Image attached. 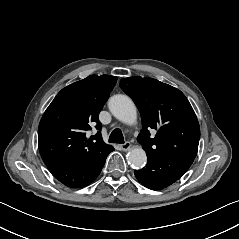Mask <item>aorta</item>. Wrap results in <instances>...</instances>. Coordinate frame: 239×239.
I'll list each match as a JSON object with an SVG mask.
<instances>
[{"mask_svg":"<svg viewBox=\"0 0 239 239\" xmlns=\"http://www.w3.org/2000/svg\"><path fill=\"white\" fill-rule=\"evenodd\" d=\"M109 109L116 119L128 126H134L138 122L137 108L127 95H115L110 98ZM127 160L138 167L146 163L147 155L142 147H135L127 153Z\"/></svg>","mask_w":239,"mask_h":239,"instance_id":"obj_1","label":"aorta"}]
</instances>
